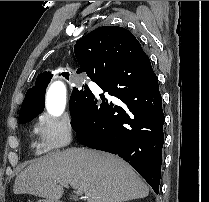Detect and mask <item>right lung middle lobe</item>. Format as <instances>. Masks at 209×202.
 I'll use <instances>...</instances> for the list:
<instances>
[{
	"label": "right lung middle lobe",
	"mask_w": 209,
	"mask_h": 202,
	"mask_svg": "<svg viewBox=\"0 0 209 202\" xmlns=\"http://www.w3.org/2000/svg\"><path fill=\"white\" fill-rule=\"evenodd\" d=\"M68 78V75L65 76ZM93 96V93L87 85L73 87L71 99H70V112L71 117H77L83 111L89 98ZM44 106H36L26 108L20 111L19 121L21 124L31 121L33 118L42 113Z\"/></svg>",
	"instance_id": "1"
}]
</instances>
